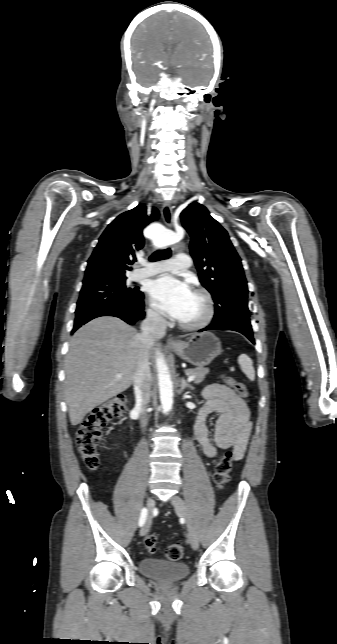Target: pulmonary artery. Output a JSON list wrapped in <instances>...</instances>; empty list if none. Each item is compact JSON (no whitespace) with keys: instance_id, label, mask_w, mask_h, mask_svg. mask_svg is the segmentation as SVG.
<instances>
[{"instance_id":"pulmonary-artery-1","label":"pulmonary artery","mask_w":337,"mask_h":644,"mask_svg":"<svg viewBox=\"0 0 337 644\" xmlns=\"http://www.w3.org/2000/svg\"><path fill=\"white\" fill-rule=\"evenodd\" d=\"M190 265V256L184 253H180L176 255L174 259L149 263L144 268L135 270L132 274V279L140 280L163 272L184 270L189 268Z\"/></svg>"}]
</instances>
